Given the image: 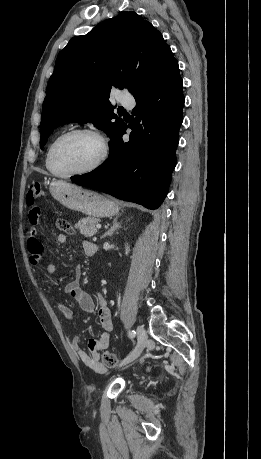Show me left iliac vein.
<instances>
[{"label": "left iliac vein", "instance_id": "4c4485c4", "mask_svg": "<svg viewBox=\"0 0 261 459\" xmlns=\"http://www.w3.org/2000/svg\"><path fill=\"white\" fill-rule=\"evenodd\" d=\"M138 343L135 349L120 363V366L126 365L134 361L147 345V334L142 326H137Z\"/></svg>", "mask_w": 261, "mask_h": 459}]
</instances>
